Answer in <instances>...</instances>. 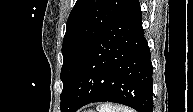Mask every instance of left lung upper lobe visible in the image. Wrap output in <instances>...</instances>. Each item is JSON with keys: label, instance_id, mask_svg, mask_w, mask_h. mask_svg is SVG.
<instances>
[{"label": "left lung upper lobe", "instance_id": "obj_1", "mask_svg": "<svg viewBox=\"0 0 193 112\" xmlns=\"http://www.w3.org/2000/svg\"><path fill=\"white\" fill-rule=\"evenodd\" d=\"M131 1L77 0L67 20L62 45L63 66L60 78L64 87L61 102L91 46Z\"/></svg>", "mask_w": 193, "mask_h": 112}]
</instances>
